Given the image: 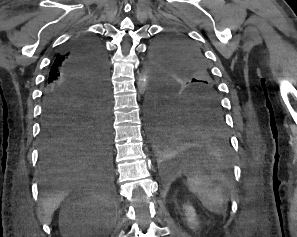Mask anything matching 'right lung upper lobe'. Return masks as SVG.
<instances>
[{
    "label": "right lung upper lobe",
    "mask_w": 297,
    "mask_h": 237,
    "mask_svg": "<svg viewBox=\"0 0 297 237\" xmlns=\"http://www.w3.org/2000/svg\"><path fill=\"white\" fill-rule=\"evenodd\" d=\"M69 57V50H67L61 55L58 54L49 73L48 86L64 83L68 80L66 73V65L69 60Z\"/></svg>",
    "instance_id": "cb5924a9"
}]
</instances>
